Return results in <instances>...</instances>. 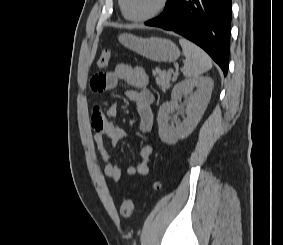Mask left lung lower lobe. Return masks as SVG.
<instances>
[{
	"instance_id": "obj_1",
	"label": "left lung lower lobe",
	"mask_w": 283,
	"mask_h": 245,
	"mask_svg": "<svg viewBox=\"0 0 283 245\" xmlns=\"http://www.w3.org/2000/svg\"><path fill=\"white\" fill-rule=\"evenodd\" d=\"M145 25L174 31L203 48L227 74L231 0H172Z\"/></svg>"
}]
</instances>
